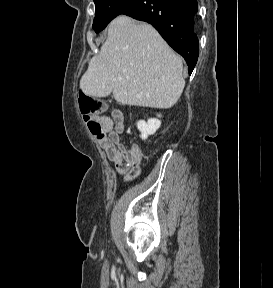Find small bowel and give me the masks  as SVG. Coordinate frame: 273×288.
I'll list each match as a JSON object with an SVG mask.
<instances>
[{"label":"small bowel","mask_w":273,"mask_h":288,"mask_svg":"<svg viewBox=\"0 0 273 288\" xmlns=\"http://www.w3.org/2000/svg\"><path fill=\"white\" fill-rule=\"evenodd\" d=\"M98 120L104 135L97 139L116 170L125 175L127 180L137 178L140 174L142 152L136 144L127 148L120 142V134L125 128L124 114L120 110H113L111 116H101Z\"/></svg>","instance_id":"1"}]
</instances>
